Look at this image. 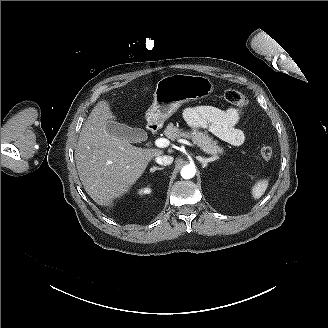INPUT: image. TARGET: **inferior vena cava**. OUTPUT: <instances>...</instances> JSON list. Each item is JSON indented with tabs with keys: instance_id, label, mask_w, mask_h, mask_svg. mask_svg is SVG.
<instances>
[{
	"instance_id": "1",
	"label": "inferior vena cava",
	"mask_w": 328,
	"mask_h": 328,
	"mask_svg": "<svg viewBox=\"0 0 328 328\" xmlns=\"http://www.w3.org/2000/svg\"><path fill=\"white\" fill-rule=\"evenodd\" d=\"M156 162L160 165H170L173 162V157L172 156H168V155H164V156H157L156 157Z\"/></svg>"
}]
</instances>
